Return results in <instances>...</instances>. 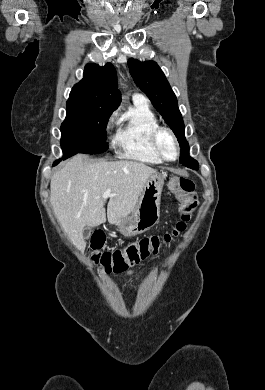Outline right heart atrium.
Segmentation results:
<instances>
[{"instance_id": "obj_1", "label": "right heart atrium", "mask_w": 265, "mask_h": 390, "mask_svg": "<svg viewBox=\"0 0 265 390\" xmlns=\"http://www.w3.org/2000/svg\"><path fill=\"white\" fill-rule=\"evenodd\" d=\"M110 126H111V121L108 123L107 128H110Z\"/></svg>"}]
</instances>
